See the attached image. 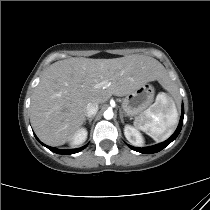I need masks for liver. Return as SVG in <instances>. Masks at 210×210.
<instances>
[{"label": "liver", "mask_w": 210, "mask_h": 210, "mask_svg": "<svg viewBox=\"0 0 210 210\" xmlns=\"http://www.w3.org/2000/svg\"><path fill=\"white\" fill-rule=\"evenodd\" d=\"M157 80L166 87L164 67L144 55L114 59L69 58L51 64L32 96L30 117L41 141L50 146L68 142L85 121L89 102L105 103Z\"/></svg>", "instance_id": "obj_1"}]
</instances>
